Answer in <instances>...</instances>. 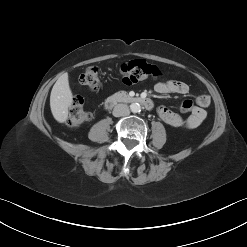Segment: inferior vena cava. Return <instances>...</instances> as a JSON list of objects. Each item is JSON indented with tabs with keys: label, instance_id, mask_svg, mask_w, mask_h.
I'll use <instances>...</instances> for the list:
<instances>
[{
	"label": "inferior vena cava",
	"instance_id": "1",
	"mask_svg": "<svg viewBox=\"0 0 247 247\" xmlns=\"http://www.w3.org/2000/svg\"><path fill=\"white\" fill-rule=\"evenodd\" d=\"M130 114L129 107L126 104H118L113 109V115L115 117H124Z\"/></svg>",
	"mask_w": 247,
	"mask_h": 247
}]
</instances>
